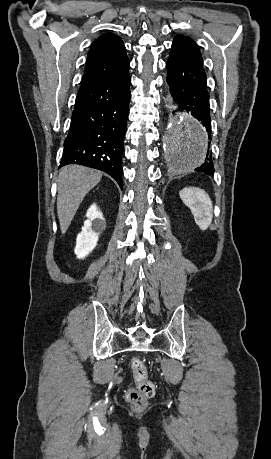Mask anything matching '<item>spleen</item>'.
Segmentation results:
<instances>
[{"instance_id":"obj_1","label":"spleen","mask_w":271,"mask_h":459,"mask_svg":"<svg viewBox=\"0 0 271 459\" xmlns=\"http://www.w3.org/2000/svg\"><path fill=\"white\" fill-rule=\"evenodd\" d=\"M194 190L195 192L190 194L183 202L190 208L195 224H198L200 229H207L212 224V202L204 190H199V188H194Z\"/></svg>"}]
</instances>
